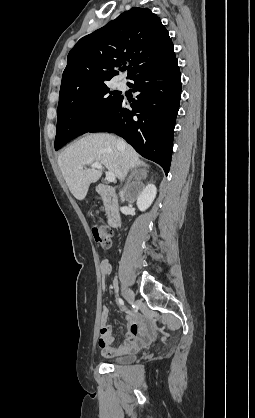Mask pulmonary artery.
I'll list each match as a JSON object with an SVG mask.
<instances>
[{
	"label": "pulmonary artery",
	"instance_id": "pulmonary-artery-1",
	"mask_svg": "<svg viewBox=\"0 0 255 418\" xmlns=\"http://www.w3.org/2000/svg\"><path fill=\"white\" fill-rule=\"evenodd\" d=\"M124 82L123 81H120L119 83H118V86L120 87V88H122V87H124Z\"/></svg>",
	"mask_w": 255,
	"mask_h": 418
}]
</instances>
